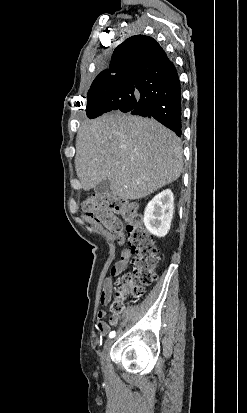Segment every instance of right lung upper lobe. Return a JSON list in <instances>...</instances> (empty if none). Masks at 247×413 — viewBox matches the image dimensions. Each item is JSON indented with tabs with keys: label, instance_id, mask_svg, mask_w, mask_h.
<instances>
[{
	"label": "right lung upper lobe",
	"instance_id": "obj_1",
	"mask_svg": "<svg viewBox=\"0 0 247 413\" xmlns=\"http://www.w3.org/2000/svg\"><path fill=\"white\" fill-rule=\"evenodd\" d=\"M170 63L164 50L151 37L136 35L128 38L113 52L110 68L95 80L120 82L136 72H156Z\"/></svg>",
	"mask_w": 247,
	"mask_h": 413
}]
</instances>
